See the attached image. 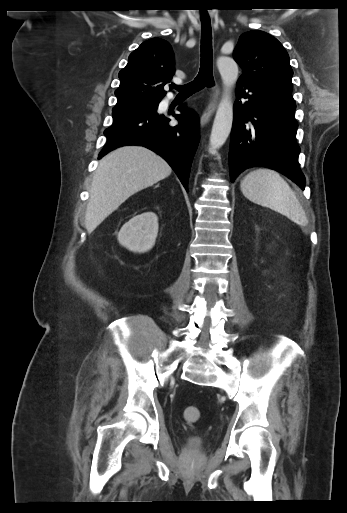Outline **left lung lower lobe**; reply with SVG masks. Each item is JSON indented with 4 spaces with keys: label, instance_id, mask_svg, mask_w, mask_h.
Wrapping results in <instances>:
<instances>
[{
    "label": "left lung lower lobe",
    "instance_id": "obj_1",
    "mask_svg": "<svg viewBox=\"0 0 347 513\" xmlns=\"http://www.w3.org/2000/svg\"><path fill=\"white\" fill-rule=\"evenodd\" d=\"M295 107L291 85L238 80L229 153L232 182L243 170L264 166L281 172L304 190Z\"/></svg>",
    "mask_w": 347,
    "mask_h": 513
}]
</instances>
